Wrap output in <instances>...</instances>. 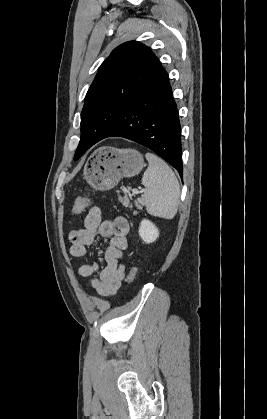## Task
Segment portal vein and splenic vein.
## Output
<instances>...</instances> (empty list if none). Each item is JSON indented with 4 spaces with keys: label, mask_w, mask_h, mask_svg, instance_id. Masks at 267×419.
I'll return each mask as SVG.
<instances>
[{
    "label": "portal vein and splenic vein",
    "mask_w": 267,
    "mask_h": 419,
    "mask_svg": "<svg viewBox=\"0 0 267 419\" xmlns=\"http://www.w3.org/2000/svg\"><path fill=\"white\" fill-rule=\"evenodd\" d=\"M132 193H133V194H138V193H139V191H138L137 189H133V190H132Z\"/></svg>",
    "instance_id": "1"
}]
</instances>
